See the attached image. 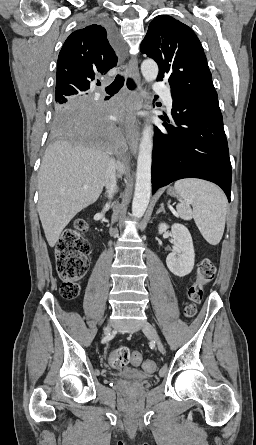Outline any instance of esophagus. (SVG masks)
Returning <instances> with one entry per match:
<instances>
[{"instance_id": "obj_1", "label": "esophagus", "mask_w": 256, "mask_h": 445, "mask_svg": "<svg viewBox=\"0 0 256 445\" xmlns=\"http://www.w3.org/2000/svg\"><path fill=\"white\" fill-rule=\"evenodd\" d=\"M128 74L134 78L137 84L140 82V74L138 70V60L136 56H132L128 62ZM143 99L136 93L131 94L130 114L128 115L127 123L125 126V136L129 144L130 150L133 154L137 153L139 142V122L132 111L142 108Z\"/></svg>"}]
</instances>
